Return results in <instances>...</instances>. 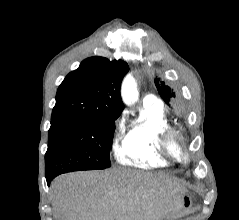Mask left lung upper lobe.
I'll use <instances>...</instances> for the list:
<instances>
[{"label":"left lung upper lobe","mask_w":239,"mask_h":220,"mask_svg":"<svg viewBox=\"0 0 239 220\" xmlns=\"http://www.w3.org/2000/svg\"><path fill=\"white\" fill-rule=\"evenodd\" d=\"M155 85L158 92L164 102L178 115H183L185 113V106L183 103L176 99L174 90L167 86L164 81L160 79H155Z\"/></svg>","instance_id":"1"}]
</instances>
